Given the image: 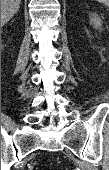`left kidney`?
Segmentation results:
<instances>
[{"instance_id": "1", "label": "left kidney", "mask_w": 109, "mask_h": 170, "mask_svg": "<svg viewBox=\"0 0 109 170\" xmlns=\"http://www.w3.org/2000/svg\"><path fill=\"white\" fill-rule=\"evenodd\" d=\"M89 18L91 25H93L96 29H101L102 21L97 14H92Z\"/></svg>"}]
</instances>
